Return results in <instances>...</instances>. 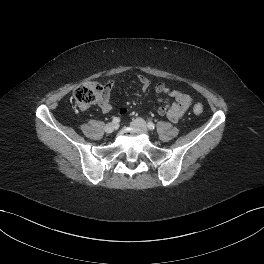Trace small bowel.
<instances>
[{
  "label": "small bowel",
  "instance_id": "obj_1",
  "mask_svg": "<svg viewBox=\"0 0 264 264\" xmlns=\"http://www.w3.org/2000/svg\"><path fill=\"white\" fill-rule=\"evenodd\" d=\"M138 80L143 91L150 87L151 82L147 77L139 76ZM113 86V80H109L105 85V94L99 101V107L103 112H109L112 109L109 95ZM155 91L159 95V101L162 103V106L158 109V114L166 116L172 122H178L192 104V98L188 94L172 89L164 83H158ZM170 99L173 101H170Z\"/></svg>",
  "mask_w": 264,
  "mask_h": 264
}]
</instances>
